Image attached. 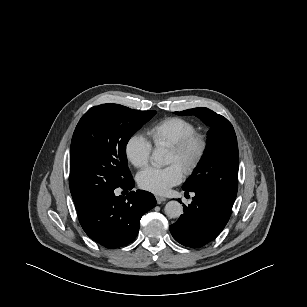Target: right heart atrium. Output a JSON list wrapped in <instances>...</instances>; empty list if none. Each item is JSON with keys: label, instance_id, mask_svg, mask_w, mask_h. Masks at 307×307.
I'll list each match as a JSON object with an SVG mask.
<instances>
[{"label": "right heart atrium", "instance_id": "right-heart-atrium-1", "mask_svg": "<svg viewBox=\"0 0 307 307\" xmlns=\"http://www.w3.org/2000/svg\"><path fill=\"white\" fill-rule=\"evenodd\" d=\"M125 153L133 166L143 168L150 161L152 145L143 135L134 134L125 145Z\"/></svg>", "mask_w": 307, "mask_h": 307}]
</instances>
